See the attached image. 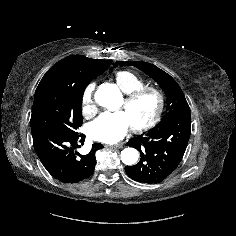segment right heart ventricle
<instances>
[{
	"mask_svg": "<svg viewBox=\"0 0 236 236\" xmlns=\"http://www.w3.org/2000/svg\"><path fill=\"white\" fill-rule=\"evenodd\" d=\"M114 80L119 89L125 94L147 86L143 78L127 70L118 71L114 76Z\"/></svg>",
	"mask_w": 236,
	"mask_h": 236,
	"instance_id": "1",
	"label": "right heart ventricle"
}]
</instances>
